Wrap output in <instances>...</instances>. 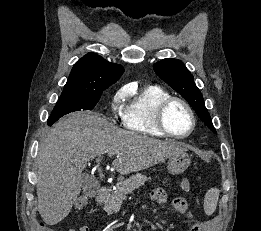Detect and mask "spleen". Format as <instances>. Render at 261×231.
Returning a JSON list of instances; mask_svg holds the SVG:
<instances>
[{
	"label": "spleen",
	"mask_w": 261,
	"mask_h": 231,
	"mask_svg": "<svg viewBox=\"0 0 261 231\" xmlns=\"http://www.w3.org/2000/svg\"><path fill=\"white\" fill-rule=\"evenodd\" d=\"M218 198L219 190L217 188H211L210 190H208L204 198V210L206 214L210 215L215 211Z\"/></svg>",
	"instance_id": "obj_1"
}]
</instances>
